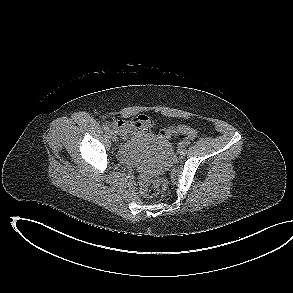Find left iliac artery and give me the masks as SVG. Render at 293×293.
<instances>
[{
  "instance_id": "1",
  "label": "left iliac artery",
  "mask_w": 293,
  "mask_h": 293,
  "mask_svg": "<svg viewBox=\"0 0 293 293\" xmlns=\"http://www.w3.org/2000/svg\"><path fill=\"white\" fill-rule=\"evenodd\" d=\"M181 144H182V147L185 148L190 144V142L188 140H184Z\"/></svg>"
}]
</instances>
